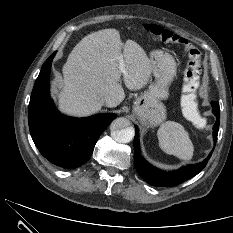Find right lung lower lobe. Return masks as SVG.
Segmentation results:
<instances>
[{"instance_id":"right-lung-lower-lobe-1","label":"right lung lower lobe","mask_w":233,"mask_h":233,"mask_svg":"<svg viewBox=\"0 0 233 233\" xmlns=\"http://www.w3.org/2000/svg\"><path fill=\"white\" fill-rule=\"evenodd\" d=\"M54 55L43 64L36 79L28 106L29 129L46 159L63 168H75L89 159L99 136L116 115L104 113L78 119L60 114L49 96Z\"/></svg>"}]
</instances>
